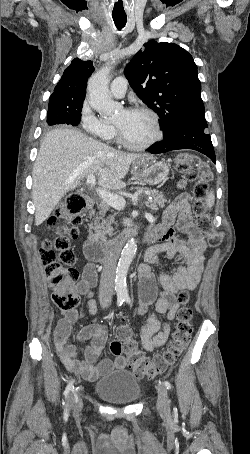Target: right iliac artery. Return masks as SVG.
Returning <instances> with one entry per match:
<instances>
[{"mask_svg": "<svg viewBox=\"0 0 250 454\" xmlns=\"http://www.w3.org/2000/svg\"><path fill=\"white\" fill-rule=\"evenodd\" d=\"M123 302H124V299H118V300H117V305H118V306H121V305L123 304ZM72 389H74V386H73V379H71V380L69 381V383H68V385H67V387H66V389H65V391H64V396H65L66 399L68 398L69 393H70V391H71Z\"/></svg>", "mask_w": 250, "mask_h": 454, "instance_id": "obj_1", "label": "right iliac artery"}]
</instances>
